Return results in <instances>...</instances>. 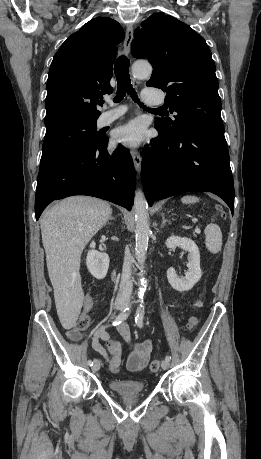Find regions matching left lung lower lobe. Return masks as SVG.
Listing matches in <instances>:
<instances>
[{"label": "left lung lower lobe", "instance_id": "obj_1", "mask_svg": "<svg viewBox=\"0 0 261 459\" xmlns=\"http://www.w3.org/2000/svg\"><path fill=\"white\" fill-rule=\"evenodd\" d=\"M159 136L143 151L142 182L148 204L190 191L212 192L234 211V184L224 128Z\"/></svg>", "mask_w": 261, "mask_h": 459}]
</instances>
